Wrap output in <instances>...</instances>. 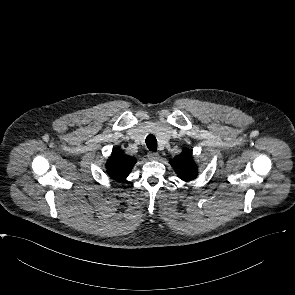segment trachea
Segmentation results:
<instances>
[{
    "instance_id": "3493384b",
    "label": "trachea",
    "mask_w": 295,
    "mask_h": 295,
    "mask_svg": "<svg viewBox=\"0 0 295 295\" xmlns=\"http://www.w3.org/2000/svg\"><path fill=\"white\" fill-rule=\"evenodd\" d=\"M146 145L150 151H156L157 150V140L154 135H148L146 137Z\"/></svg>"
}]
</instances>
